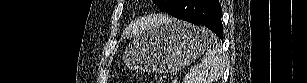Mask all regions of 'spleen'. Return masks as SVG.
Returning <instances> with one entry per match:
<instances>
[{
  "label": "spleen",
  "instance_id": "1",
  "mask_svg": "<svg viewBox=\"0 0 307 83\" xmlns=\"http://www.w3.org/2000/svg\"><path fill=\"white\" fill-rule=\"evenodd\" d=\"M213 49L206 50L199 67L194 68L187 74L183 83H213L223 73L225 68V55L221 46L216 41V36L206 30Z\"/></svg>",
  "mask_w": 307,
  "mask_h": 83
}]
</instances>
